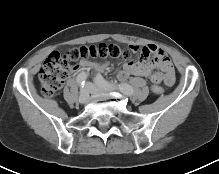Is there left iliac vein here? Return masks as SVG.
Returning a JSON list of instances; mask_svg holds the SVG:
<instances>
[{
	"instance_id": "obj_1",
	"label": "left iliac vein",
	"mask_w": 219,
	"mask_h": 174,
	"mask_svg": "<svg viewBox=\"0 0 219 174\" xmlns=\"http://www.w3.org/2000/svg\"><path fill=\"white\" fill-rule=\"evenodd\" d=\"M87 88L92 94H96L99 92H110L113 90L112 87L95 85L93 83H87Z\"/></svg>"
}]
</instances>
